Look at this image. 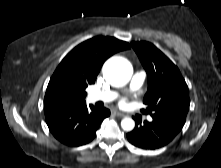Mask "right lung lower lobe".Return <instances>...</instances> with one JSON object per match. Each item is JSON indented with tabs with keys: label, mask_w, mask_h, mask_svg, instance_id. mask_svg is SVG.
Listing matches in <instances>:
<instances>
[{
	"label": "right lung lower lobe",
	"mask_w": 221,
	"mask_h": 168,
	"mask_svg": "<svg viewBox=\"0 0 221 168\" xmlns=\"http://www.w3.org/2000/svg\"><path fill=\"white\" fill-rule=\"evenodd\" d=\"M50 132L61 143L80 146L89 143L95 136L102 120L110 115L106 108L98 109L85 103L53 108L44 111Z\"/></svg>",
	"instance_id": "obj_1"
}]
</instances>
